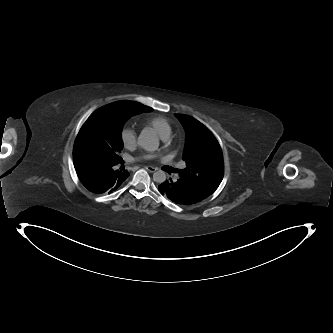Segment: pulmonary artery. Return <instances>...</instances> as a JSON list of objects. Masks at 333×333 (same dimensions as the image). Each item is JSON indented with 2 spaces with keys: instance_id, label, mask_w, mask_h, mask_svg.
<instances>
[{
  "instance_id": "1",
  "label": "pulmonary artery",
  "mask_w": 333,
  "mask_h": 333,
  "mask_svg": "<svg viewBox=\"0 0 333 333\" xmlns=\"http://www.w3.org/2000/svg\"><path fill=\"white\" fill-rule=\"evenodd\" d=\"M169 135H166L165 137H163V139H168Z\"/></svg>"
}]
</instances>
